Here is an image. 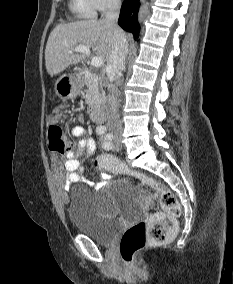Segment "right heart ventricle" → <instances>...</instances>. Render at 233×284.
I'll return each mask as SVG.
<instances>
[{
	"label": "right heart ventricle",
	"mask_w": 233,
	"mask_h": 284,
	"mask_svg": "<svg viewBox=\"0 0 233 284\" xmlns=\"http://www.w3.org/2000/svg\"><path fill=\"white\" fill-rule=\"evenodd\" d=\"M72 8L83 18H94L96 16V10L91 0H73Z\"/></svg>",
	"instance_id": "obj_1"
}]
</instances>
